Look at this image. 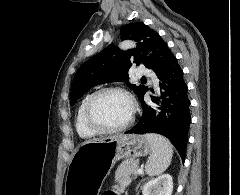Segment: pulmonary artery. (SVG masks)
<instances>
[{"instance_id": "pulmonary-artery-1", "label": "pulmonary artery", "mask_w": 240, "mask_h": 195, "mask_svg": "<svg viewBox=\"0 0 240 195\" xmlns=\"http://www.w3.org/2000/svg\"><path fill=\"white\" fill-rule=\"evenodd\" d=\"M136 69L137 70H142L143 69V66L142 65H137L136 66ZM134 76H147L148 75V70L147 69H144L143 72L142 71H134ZM152 80L155 81V78L152 77Z\"/></svg>"}]
</instances>
